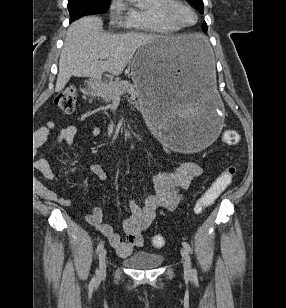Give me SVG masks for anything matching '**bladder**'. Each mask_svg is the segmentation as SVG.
Returning <instances> with one entry per match:
<instances>
[{
	"label": "bladder",
	"mask_w": 286,
	"mask_h": 308,
	"mask_svg": "<svg viewBox=\"0 0 286 308\" xmlns=\"http://www.w3.org/2000/svg\"><path fill=\"white\" fill-rule=\"evenodd\" d=\"M163 261V255L146 250L136 251L123 260L126 266L137 270L155 269L159 267Z\"/></svg>",
	"instance_id": "obj_1"
}]
</instances>
